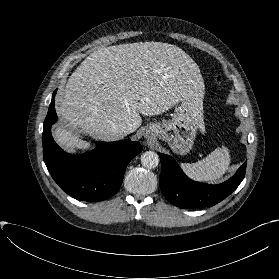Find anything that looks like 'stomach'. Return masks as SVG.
<instances>
[{"instance_id":"obj_1","label":"stomach","mask_w":279,"mask_h":279,"mask_svg":"<svg viewBox=\"0 0 279 279\" xmlns=\"http://www.w3.org/2000/svg\"><path fill=\"white\" fill-rule=\"evenodd\" d=\"M201 110H197L190 100L182 99L170 119L149 125L148 136L168 142L175 153L185 155L192 149L203 126Z\"/></svg>"}]
</instances>
